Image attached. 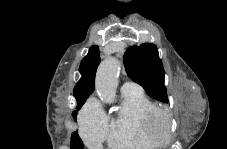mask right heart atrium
I'll use <instances>...</instances> for the list:
<instances>
[{
	"mask_svg": "<svg viewBox=\"0 0 227 149\" xmlns=\"http://www.w3.org/2000/svg\"><path fill=\"white\" fill-rule=\"evenodd\" d=\"M108 119L97 99H90L83 107L79 124L81 135L89 147H98L103 144L107 136Z\"/></svg>",
	"mask_w": 227,
	"mask_h": 149,
	"instance_id": "right-heart-atrium-1",
	"label": "right heart atrium"
}]
</instances>
